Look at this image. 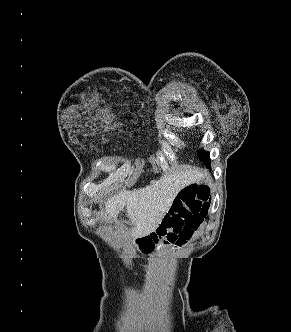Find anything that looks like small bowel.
Returning <instances> with one entry per match:
<instances>
[{
  "mask_svg": "<svg viewBox=\"0 0 291 332\" xmlns=\"http://www.w3.org/2000/svg\"><path fill=\"white\" fill-rule=\"evenodd\" d=\"M197 188H198V186L196 184L190 183V184L185 185L181 191H190V190H194Z\"/></svg>",
  "mask_w": 291,
  "mask_h": 332,
  "instance_id": "obj_1",
  "label": "small bowel"
}]
</instances>
